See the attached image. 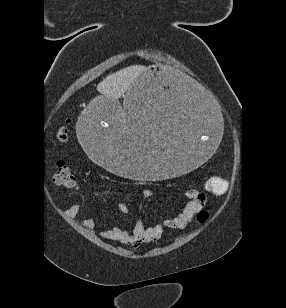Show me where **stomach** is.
<instances>
[{"instance_id":"0dacf381","label":"stomach","mask_w":286,"mask_h":308,"mask_svg":"<svg viewBox=\"0 0 286 308\" xmlns=\"http://www.w3.org/2000/svg\"><path fill=\"white\" fill-rule=\"evenodd\" d=\"M216 100L181 81L175 69L146 68L118 97H90L79 109L85 156L128 182H167L203 168L222 144L223 112ZM125 108V109H124Z\"/></svg>"}]
</instances>
